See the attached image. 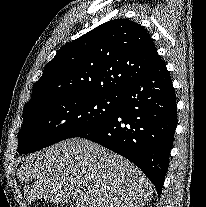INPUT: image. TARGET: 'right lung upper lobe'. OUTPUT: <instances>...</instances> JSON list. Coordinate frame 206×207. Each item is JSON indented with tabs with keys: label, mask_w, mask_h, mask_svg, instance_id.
<instances>
[{
	"label": "right lung upper lobe",
	"mask_w": 206,
	"mask_h": 207,
	"mask_svg": "<svg viewBox=\"0 0 206 207\" xmlns=\"http://www.w3.org/2000/svg\"><path fill=\"white\" fill-rule=\"evenodd\" d=\"M158 60L157 49L140 24L128 19L106 22L57 52L24 110L59 98L118 95Z\"/></svg>",
	"instance_id": "right-lung-upper-lobe-1"
}]
</instances>
